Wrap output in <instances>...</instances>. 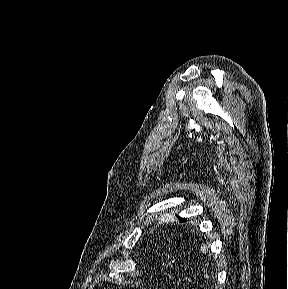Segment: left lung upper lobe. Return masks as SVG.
Segmentation results:
<instances>
[{
	"instance_id": "5c2ea615",
	"label": "left lung upper lobe",
	"mask_w": 288,
	"mask_h": 289,
	"mask_svg": "<svg viewBox=\"0 0 288 289\" xmlns=\"http://www.w3.org/2000/svg\"><path fill=\"white\" fill-rule=\"evenodd\" d=\"M179 221H180V222H184V221H186V219H184V218H183V219H182V218H179Z\"/></svg>"
}]
</instances>
